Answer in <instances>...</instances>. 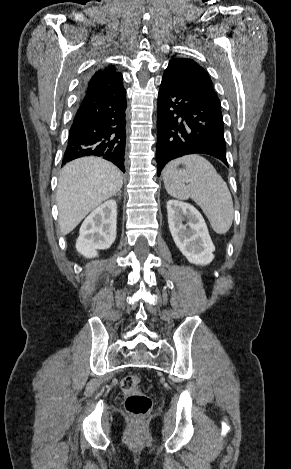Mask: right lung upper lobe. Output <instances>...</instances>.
Returning a JSON list of instances; mask_svg holds the SVG:
<instances>
[{"label":"right lung upper lobe","mask_w":291,"mask_h":469,"mask_svg":"<svg viewBox=\"0 0 291 469\" xmlns=\"http://www.w3.org/2000/svg\"><path fill=\"white\" fill-rule=\"evenodd\" d=\"M104 88H123L122 74L115 70L114 65L98 69L89 76L85 81L82 93Z\"/></svg>","instance_id":"cb5924a9"}]
</instances>
